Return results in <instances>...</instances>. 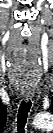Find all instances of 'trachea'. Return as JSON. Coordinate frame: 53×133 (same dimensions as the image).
<instances>
[{
	"label": "trachea",
	"mask_w": 53,
	"mask_h": 133,
	"mask_svg": "<svg viewBox=\"0 0 53 133\" xmlns=\"http://www.w3.org/2000/svg\"><path fill=\"white\" fill-rule=\"evenodd\" d=\"M31 108L30 101H22L17 114V130L18 133H25V125L27 122L28 112Z\"/></svg>",
	"instance_id": "3493384b"
}]
</instances>
